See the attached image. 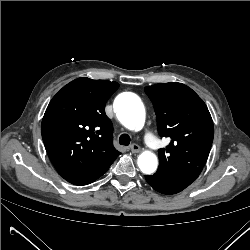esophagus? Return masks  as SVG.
I'll use <instances>...</instances> for the list:
<instances>
[{
    "instance_id": "esophagus-1",
    "label": "esophagus",
    "mask_w": 250,
    "mask_h": 250,
    "mask_svg": "<svg viewBox=\"0 0 250 250\" xmlns=\"http://www.w3.org/2000/svg\"><path fill=\"white\" fill-rule=\"evenodd\" d=\"M130 150H131V152L132 153H138V152H140V147H139V145H137V144H132L131 146H130Z\"/></svg>"
}]
</instances>
